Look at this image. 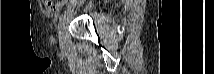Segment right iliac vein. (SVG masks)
I'll use <instances>...</instances> for the list:
<instances>
[{"label":"right iliac vein","instance_id":"63e3f726","mask_svg":"<svg viewBox=\"0 0 214 74\" xmlns=\"http://www.w3.org/2000/svg\"><path fill=\"white\" fill-rule=\"evenodd\" d=\"M65 28H66V16L64 19H62L59 25V36L61 40L64 39Z\"/></svg>","mask_w":214,"mask_h":74}]
</instances>
